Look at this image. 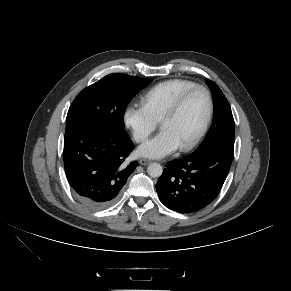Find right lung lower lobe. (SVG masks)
<instances>
[{"label":"right lung lower lobe","mask_w":291,"mask_h":291,"mask_svg":"<svg viewBox=\"0 0 291 291\" xmlns=\"http://www.w3.org/2000/svg\"><path fill=\"white\" fill-rule=\"evenodd\" d=\"M134 145L124 130L75 127L64 137L67 180L87 207L102 209L118 198L137 162H127Z\"/></svg>","instance_id":"obj_1"}]
</instances>
